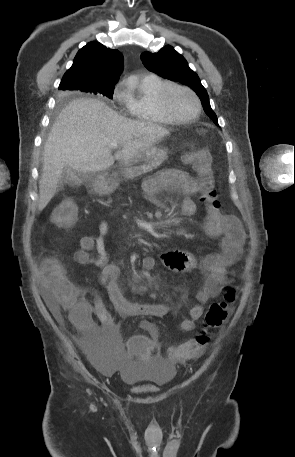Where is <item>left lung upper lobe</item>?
I'll return each instance as SVG.
<instances>
[{"label":"left lung upper lobe","mask_w":295,"mask_h":457,"mask_svg":"<svg viewBox=\"0 0 295 457\" xmlns=\"http://www.w3.org/2000/svg\"><path fill=\"white\" fill-rule=\"evenodd\" d=\"M145 67L162 78L185 83L200 97L205 113L218 124L217 117L211 109L206 89L198 75L192 71L186 59L167 45L157 53L145 52L141 55Z\"/></svg>","instance_id":"5c2ea615"}]
</instances>
